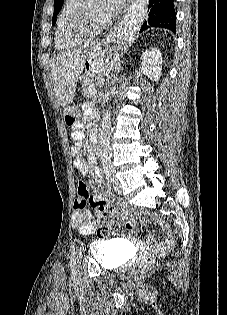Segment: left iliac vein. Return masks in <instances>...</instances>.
Returning <instances> with one entry per match:
<instances>
[{"label":"left iliac vein","mask_w":227,"mask_h":315,"mask_svg":"<svg viewBox=\"0 0 227 315\" xmlns=\"http://www.w3.org/2000/svg\"><path fill=\"white\" fill-rule=\"evenodd\" d=\"M113 187L116 193L120 194L121 193V185L118 179H114L113 181Z\"/></svg>","instance_id":"4c4485c4"}]
</instances>
